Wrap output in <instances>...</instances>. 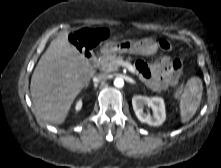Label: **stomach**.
Here are the masks:
<instances>
[{
  "label": "stomach",
  "mask_w": 221,
  "mask_h": 168,
  "mask_svg": "<svg viewBox=\"0 0 221 168\" xmlns=\"http://www.w3.org/2000/svg\"><path fill=\"white\" fill-rule=\"evenodd\" d=\"M102 50L105 54L130 53L153 55L158 50V44L152 38H145L138 41L124 40L121 42H107Z\"/></svg>",
  "instance_id": "0dacf381"
}]
</instances>
